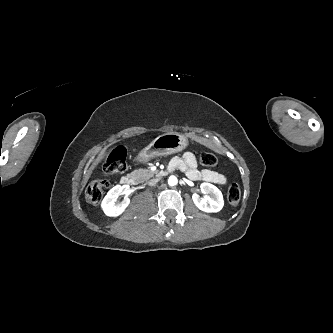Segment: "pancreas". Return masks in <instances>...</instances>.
<instances>
[{
	"mask_svg": "<svg viewBox=\"0 0 333 333\" xmlns=\"http://www.w3.org/2000/svg\"><path fill=\"white\" fill-rule=\"evenodd\" d=\"M154 175H155V172H153L151 170H148V169H138V170H134L131 173V177L136 179L137 182L147 181L148 179H150Z\"/></svg>",
	"mask_w": 333,
	"mask_h": 333,
	"instance_id": "cf45deb5",
	"label": "pancreas"
}]
</instances>
